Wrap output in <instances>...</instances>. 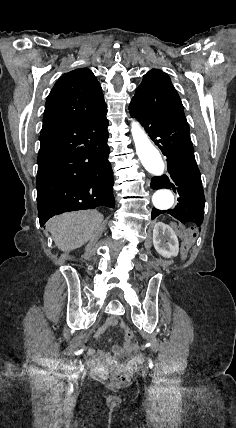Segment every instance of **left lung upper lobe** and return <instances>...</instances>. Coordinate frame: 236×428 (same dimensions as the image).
<instances>
[{
  "label": "left lung upper lobe",
  "mask_w": 236,
  "mask_h": 428,
  "mask_svg": "<svg viewBox=\"0 0 236 428\" xmlns=\"http://www.w3.org/2000/svg\"><path fill=\"white\" fill-rule=\"evenodd\" d=\"M129 107L150 115L186 121L182 102L169 76L157 69L144 76Z\"/></svg>",
  "instance_id": "left-lung-upper-lobe-1"
}]
</instances>
